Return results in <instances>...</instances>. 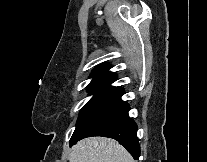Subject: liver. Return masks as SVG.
Here are the masks:
<instances>
[{"label": "liver", "instance_id": "obj_1", "mask_svg": "<svg viewBox=\"0 0 207 162\" xmlns=\"http://www.w3.org/2000/svg\"><path fill=\"white\" fill-rule=\"evenodd\" d=\"M69 162H135L128 151L114 139L89 137L76 143Z\"/></svg>", "mask_w": 207, "mask_h": 162}]
</instances>
